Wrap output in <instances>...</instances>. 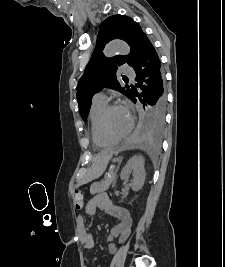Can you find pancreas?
<instances>
[{"label": "pancreas", "mask_w": 225, "mask_h": 267, "mask_svg": "<svg viewBox=\"0 0 225 267\" xmlns=\"http://www.w3.org/2000/svg\"><path fill=\"white\" fill-rule=\"evenodd\" d=\"M116 181V170L109 169V172L105 175L104 180L101 182L93 183L90 187V193L92 195L102 193L109 189L110 185H114Z\"/></svg>", "instance_id": "obj_1"}]
</instances>
